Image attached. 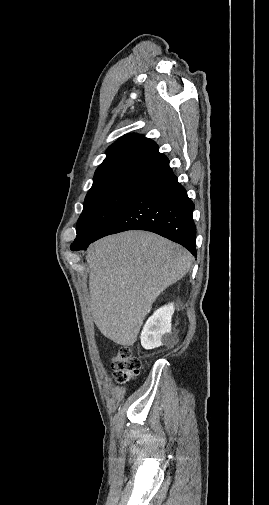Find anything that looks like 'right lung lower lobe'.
I'll return each mask as SVG.
<instances>
[{"label":"right lung lower lobe","instance_id":"98d812e1","mask_svg":"<svg viewBox=\"0 0 269 505\" xmlns=\"http://www.w3.org/2000/svg\"><path fill=\"white\" fill-rule=\"evenodd\" d=\"M194 208L169 167L139 188L92 242L110 234L139 229L177 242L196 255ZM88 245L81 249L85 250Z\"/></svg>","mask_w":269,"mask_h":505}]
</instances>
